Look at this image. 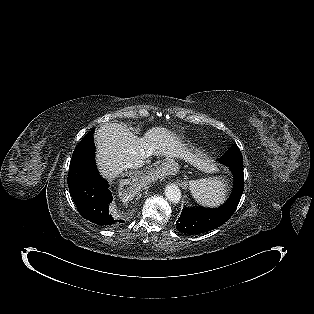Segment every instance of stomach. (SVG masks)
<instances>
[{"label":"stomach","instance_id":"1","mask_svg":"<svg viewBox=\"0 0 314 314\" xmlns=\"http://www.w3.org/2000/svg\"><path fill=\"white\" fill-rule=\"evenodd\" d=\"M166 163L173 169L177 168V163H175L174 160H166Z\"/></svg>","mask_w":314,"mask_h":314}]
</instances>
